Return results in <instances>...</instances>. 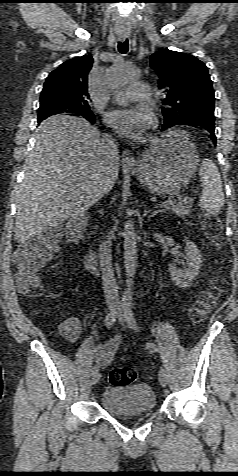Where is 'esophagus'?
Segmentation results:
<instances>
[{"label":"esophagus","mask_w":238,"mask_h":476,"mask_svg":"<svg viewBox=\"0 0 238 476\" xmlns=\"http://www.w3.org/2000/svg\"><path fill=\"white\" fill-rule=\"evenodd\" d=\"M126 38H127L126 34L120 35L121 40H125ZM122 163L125 166H134L135 165L134 158L130 155V153L127 150L123 152Z\"/></svg>","instance_id":"esophagus-1"}]
</instances>
